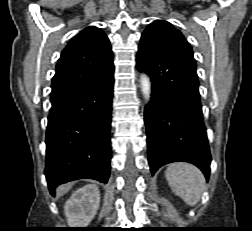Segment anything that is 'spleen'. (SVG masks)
Returning a JSON list of instances; mask_svg holds the SVG:
<instances>
[{"instance_id": "1", "label": "spleen", "mask_w": 252, "mask_h": 231, "mask_svg": "<svg viewBox=\"0 0 252 231\" xmlns=\"http://www.w3.org/2000/svg\"><path fill=\"white\" fill-rule=\"evenodd\" d=\"M165 176L172 191L186 204L195 206L199 202L205 189V177L197 167L184 162L173 163Z\"/></svg>"}]
</instances>
